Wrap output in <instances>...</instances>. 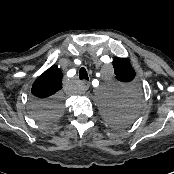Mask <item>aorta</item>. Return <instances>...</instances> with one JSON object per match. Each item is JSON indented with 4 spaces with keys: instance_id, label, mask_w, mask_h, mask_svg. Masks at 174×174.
<instances>
[{
    "instance_id": "aorta-1",
    "label": "aorta",
    "mask_w": 174,
    "mask_h": 174,
    "mask_svg": "<svg viewBox=\"0 0 174 174\" xmlns=\"http://www.w3.org/2000/svg\"><path fill=\"white\" fill-rule=\"evenodd\" d=\"M100 94L102 98L106 100L110 98L112 91L110 89L100 88Z\"/></svg>"
}]
</instances>
